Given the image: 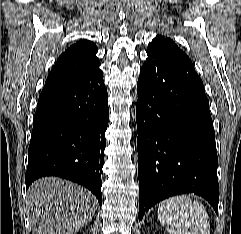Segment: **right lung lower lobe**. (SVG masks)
<instances>
[{
    "label": "right lung lower lobe",
    "instance_id": "98d812e1",
    "mask_svg": "<svg viewBox=\"0 0 241 234\" xmlns=\"http://www.w3.org/2000/svg\"><path fill=\"white\" fill-rule=\"evenodd\" d=\"M107 100L99 67L43 88L28 149L26 188L40 177L58 176L85 186L102 203Z\"/></svg>",
    "mask_w": 241,
    "mask_h": 234
}]
</instances>
